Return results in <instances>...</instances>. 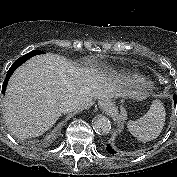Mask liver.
<instances>
[{
	"label": "liver",
	"instance_id": "1",
	"mask_svg": "<svg viewBox=\"0 0 177 177\" xmlns=\"http://www.w3.org/2000/svg\"><path fill=\"white\" fill-rule=\"evenodd\" d=\"M110 78L94 68L78 67L56 54L32 57L11 76L4 99L3 117L20 139L37 137L49 130L61 116L66 99L88 108L93 99L124 96Z\"/></svg>",
	"mask_w": 177,
	"mask_h": 177
}]
</instances>
